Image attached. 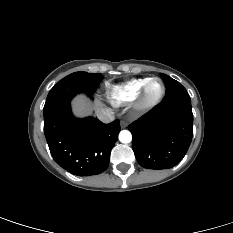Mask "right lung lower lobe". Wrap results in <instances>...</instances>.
Here are the masks:
<instances>
[{"instance_id":"98d812e1","label":"right lung lower lobe","mask_w":233,"mask_h":233,"mask_svg":"<svg viewBox=\"0 0 233 233\" xmlns=\"http://www.w3.org/2000/svg\"><path fill=\"white\" fill-rule=\"evenodd\" d=\"M72 98L44 106V133L51 155L72 174H100L109 165L120 131L119 120L104 124L92 117L76 119L70 107Z\"/></svg>"}]
</instances>
